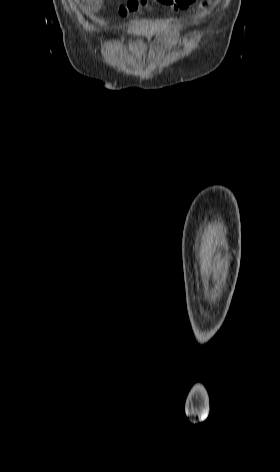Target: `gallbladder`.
Returning a JSON list of instances; mask_svg holds the SVG:
<instances>
[{"label": "gallbladder", "instance_id": "obj_1", "mask_svg": "<svg viewBox=\"0 0 280 472\" xmlns=\"http://www.w3.org/2000/svg\"><path fill=\"white\" fill-rule=\"evenodd\" d=\"M89 9L93 12H97L103 5V0H87Z\"/></svg>", "mask_w": 280, "mask_h": 472}]
</instances>
